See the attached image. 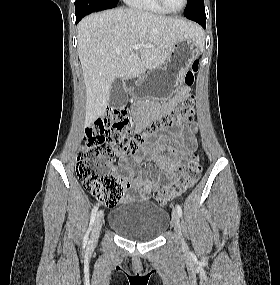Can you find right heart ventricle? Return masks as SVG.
Returning a JSON list of instances; mask_svg holds the SVG:
<instances>
[{
  "instance_id": "obj_1",
  "label": "right heart ventricle",
  "mask_w": 280,
  "mask_h": 285,
  "mask_svg": "<svg viewBox=\"0 0 280 285\" xmlns=\"http://www.w3.org/2000/svg\"><path fill=\"white\" fill-rule=\"evenodd\" d=\"M128 5L145 12L156 13V14H165L157 0H126Z\"/></svg>"
}]
</instances>
